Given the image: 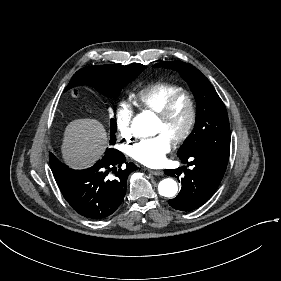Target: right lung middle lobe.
<instances>
[{
  "label": "right lung middle lobe",
  "instance_id": "dd1d6c3e",
  "mask_svg": "<svg viewBox=\"0 0 281 281\" xmlns=\"http://www.w3.org/2000/svg\"><path fill=\"white\" fill-rule=\"evenodd\" d=\"M144 69V65L135 63L114 71L95 66L85 67L79 71L80 77L85 84L111 97L117 95L123 86L137 77ZM50 165L65 166L52 153H50Z\"/></svg>",
  "mask_w": 281,
  "mask_h": 281
}]
</instances>
